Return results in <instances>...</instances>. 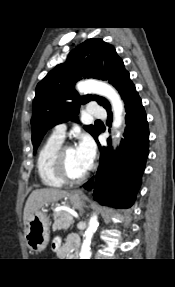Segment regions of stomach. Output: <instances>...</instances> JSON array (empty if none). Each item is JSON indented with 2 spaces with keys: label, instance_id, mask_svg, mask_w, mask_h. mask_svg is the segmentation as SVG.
Masks as SVG:
<instances>
[{
  "label": "stomach",
  "instance_id": "stomach-1",
  "mask_svg": "<svg viewBox=\"0 0 175 287\" xmlns=\"http://www.w3.org/2000/svg\"><path fill=\"white\" fill-rule=\"evenodd\" d=\"M73 208H82L85 197L76 191L67 195ZM24 238L30 251L41 252L46 248L50 239L49 217L43 211H35L24 224Z\"/></svg>",
  "mask_w": 175,
  "mask_h": 287
}]
</instances>
